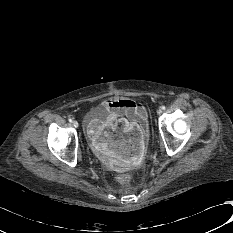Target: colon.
I'll use <instances>...</instances> for the list:
<instances>
[{
  "label": "colon",
  "instance_id": "5ec220e1",
  "mask_svg": "<svg viewBox=\"0 0 233 233\" xmlns=\"http://www.w3.org/2000/svg\"><path fill=\"white\" fill-rule=\"evenodd\" d=\"M114 127L118 130L123 128V124L120 121L114 123ZM117 180L121 184H128L131 181V176L127 173H121L117 176Z\"/></svg>",
  "mask_w": 233,
  "mask_h": 233
}]
</instances>
